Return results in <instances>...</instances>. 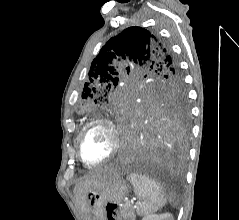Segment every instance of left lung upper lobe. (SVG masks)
<instances>
[{"label": "left lung upper lobe", "mask_w": 239, "mask_h": 220, "mask_svg": "<svg viewBox=\"0 0 239 220\" xmlns=\"http://www.w3.org/2000/svg\"><path fill=\"white\" fill-rule=\"evenodd\" d=\"M130 67L145 74L134 81L124 77ZM78 105L93 117L120 116L134 110L187 111L181 70L169 46L141 27L123 30L100 49L91 63Z\"/></svg>", "instance_id": "left-lung-upper-lobe-1"}]
</instances>
